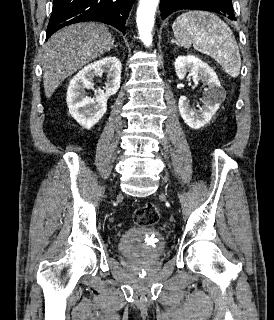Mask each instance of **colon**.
<instances>
[{"mask_svg": "<svg viewBox=\"0 0 274 320\" xmlns=\"http://www.w3.org/2000/svg\"><path fill=\"white\" fill-rule=\"evenodd\" d=\"M160 218V211L154 202L143 203L134 213V222L141 227L155 225Z\"/></svg>", "mask_w": 274, "mask_h": 320, "instance_id": "colon-1", "label": "colon"}]
</instances>
